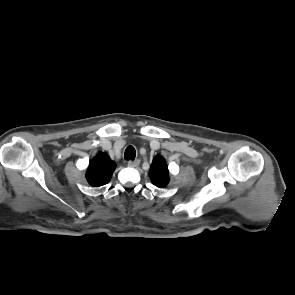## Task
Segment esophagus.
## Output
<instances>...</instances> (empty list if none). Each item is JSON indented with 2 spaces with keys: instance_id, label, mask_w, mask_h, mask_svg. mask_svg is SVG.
Wrapping results in <instances>:
<instances>
[{
  "instance_id": "esophagus-1",
  "label": "esophagus",
  "mask_w": 295,
  "mask_h": 295,
  "mask_svg": "<svg viewBox=\"0 0 295 295\" xmlns=\"http://www.w3.org/2000/svg\"><path fill=\"white\" fill-rule=\"evenodd\" d=\"M139 164H140L139 160H134V161L131 160L128 162L129 167H137Z\"/></svg>"
}]
</instances>
